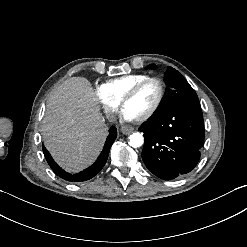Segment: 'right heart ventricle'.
<instances>
[{"mask_svg":"<svg viewBox=\"0 0 247 247\" xmlns=\"http://www.w3.org/2000/svg\"><path fill=\"white\" fill-rule=\"evenodd\" d=\"M146 77L148 76L141 74L123 76L108 81L103 87L106 89L110 101L118 104L122 97L127 94L136 83Z\"/></svg>","mask_w":247,"mask_h":247,"instance_id":"right-heart-ventricle-1","label":"right heart ventricle"}]
</instances>
